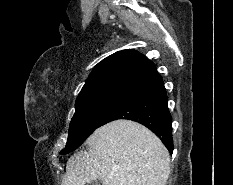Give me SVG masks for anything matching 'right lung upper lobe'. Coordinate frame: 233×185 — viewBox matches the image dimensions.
Wrapping results in <instances>:
<instances>
[{"label":"right lung upper lobe","instance_id":"right-lung-upper-lobe-1","mask_svg":"<svg viewBox=\"0 0 233 185\" xmlns=\"http://www.w3.org/2000/svg\"><path fill=\"white\" fill-rule=\"evenodd\" d=\"M156 75L155 65L144 55L122 50L97 64L79 95L109 88L132 90Z\"/></svg>","mask_w":233,"mask_h":185}]
</instances>
